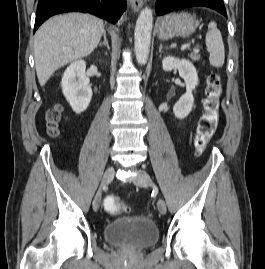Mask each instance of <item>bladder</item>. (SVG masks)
<instances>
[{
	"instance_id": "obj_1",
	"label": "bladder",
	"mask_w": 265,
	"mask_h": 269,
	"mask_svg": "<svg viewBox=\"0 0 265 269\" xmlns=\"http://www.w3.org/2000/svg\"><path fill=\"white\" fill-rule=\"evenodd\" d=\"M103 236L110 244L138 249L155 244L159 230L147 217H124L107 224Z\"/></svg>"
}]
</instances>
